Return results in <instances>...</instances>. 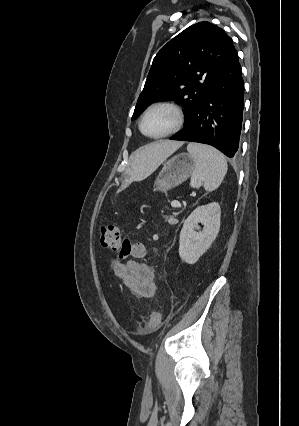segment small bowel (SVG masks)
<instances>
[{"label":"small bowel","instance_id":"small-bowel-1","mask_svg":"<svg viewBox=\"0 0 299 426\" xmlns=\"http://www.w3.org/2000/svg\"><path fill=\"white\" fill-rule=\"evenodd\" d=\"M114 274L138 298L152 297L157 285L154 269L145 263L129 259L122 262L118 259L112 262Z\"/></svg>","mask_w":299,"mask_h":426}]
</instances>
